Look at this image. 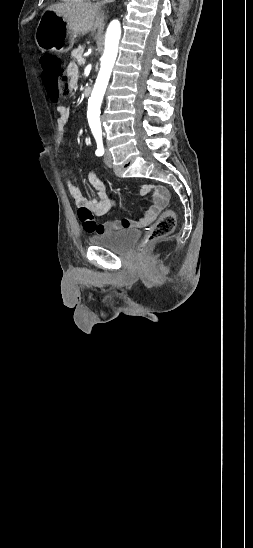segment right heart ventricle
I'll use <instances>...</instances> for the list:
<instances>
[{
	"label": "right heart ventricle",
	"instance_id": "obj_1",
	"mask_svg": "<svg viewBox=\"0 0 253 548\" xmlns=\"http://www.w3.org/2000/svg\"><path fill=\"white\" fill-rule=\"evenodd\" d=\"M62 1L79 3V2L86 1V0H62Z\"/></svg>",
	"mask_w": 253,
	"mask_h": 548
}]
</instances>
